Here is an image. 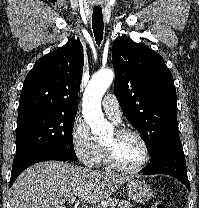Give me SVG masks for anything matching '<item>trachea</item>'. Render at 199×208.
<instances>
[{
  "instance_id": "3493384b",
  "label": "trachea",
  "mask_w": 199,
  "mask_h": 208,
  "mask_svg": "<svg viewBox=\"0 0 199 208\" xmlns=\"http://www.w3.org/2000/svg\"><path fill=\"white\" fill-rule=\"evenodd\" d=\"M92 28L96 43L99 45L103 39L104 22L102 9L94 8L92 14Z\"/></svg>"
}]
</instances>
